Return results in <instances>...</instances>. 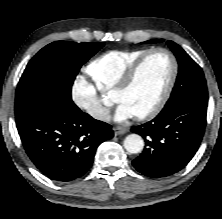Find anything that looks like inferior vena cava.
Instances as JSON below:
<instances>
[{
	"label": "inferior vena cava",
	"instance_id": "inferior-vena-cava-1",
	"mask_svg": "<svg viewBox=\"0 0 222 219\" xmlns=\"http://www.w3.org/2000/svg\"><path fill=\"white\" fill-rule=\"evenodd\" d=\"M96 117L101 120H109L111 118L109 112H103V113L97 114Z\"/></svg>",
	"mask_w": 222,
	"mask_h": 219
}]
</instances>
